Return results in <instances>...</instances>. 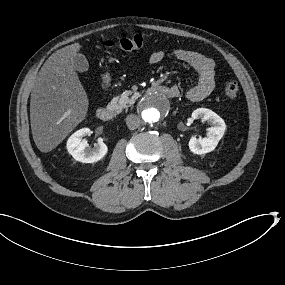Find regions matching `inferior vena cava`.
<instances>
[{"label": "inferior vena cava", "instance_id": "1", "mask_svg": "<svg viewBox=\"0 0 285 285\" xmlns=\"http://www.w3.org/2000/svg\"><path fill=\"white\" fill-rule=\"evenodd\" d=\"M126 124L130 130H135L140 126V118L135 114H130L126 117Z\"/></svg>", "mask_w": 285, "mask_h": 285}]
</instances>
